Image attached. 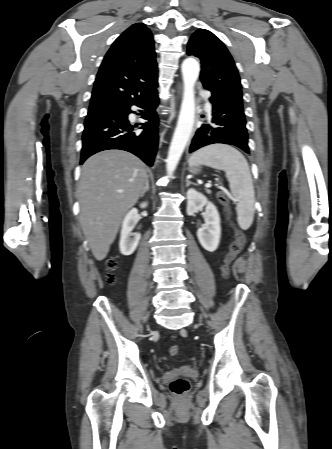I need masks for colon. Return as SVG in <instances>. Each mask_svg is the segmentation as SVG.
<instances>
[{
	"label": "colon",
	"mask_w": 332,
	"mask_h": 449,
	"mask_svg": "<svg viewBox=\"0 0 332 449\" xmlns=\"http://www.w3.org/2000/svg\"><path fill=\"white\" fill-rule=\"evenodd\" d=\"M217 198L219 202L224 206L226 211L227 218H230V209H229V197L226 192L219 191L217 194ZM246 242V236L244 232L237 231L235 234V238L233 242L230 244L228 253L226 254L224 258V262L222 265V275L224 278H228L230 274V265L234 261V259L237 257V255L241 252V250L244 247V244ZM117 267V262L115 259H110L107 262V274H106V280L109 284H114L115 282V276L113 274V271ZM180 353V348L177 345H173L169 348V354L172 357H176ZM170 389L173 394L175 395H182L189 389V382L185 378H177L173 380L170 384Z\"/></svg>",
	"instance_id": "colon-1"
}]
</instances>
